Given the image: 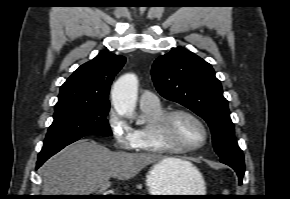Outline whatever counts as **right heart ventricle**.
<instances>
[{
	"label": "right heart ventricle",
	"mask_w": 290,
	"mask_h": 199,
	"mask_svg": "<svg viewBox=\"0 0 290 199\" xmlns=\"http://www.w3.org/2000/svg\"><path fill=\"white\" fill-rule=\"evenodd\" d=\"M141 110L147 118V123L134 129L133 150L135 152L153 155L172 153L162 147L154 136L155 122L165 114V110L161 106L156 108L141 107Z\"/></svg>",
	"instance_id": "e07e8e85"
}]
</instances>
